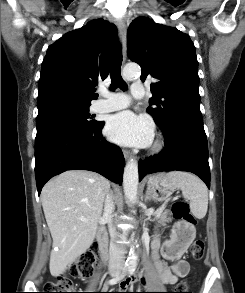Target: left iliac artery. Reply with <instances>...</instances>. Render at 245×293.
Returning <instances> with one entry per match:
<instances>
[{
	"mask_svg": "<svg viewBox=\"0 0 245 293\" xmlns=\"http://www.w3.org/2000/svg\"><path fill=\"white\" fill-rule=\"evenodd\" d=\"M134 272H135V267L133 266L129 269V274L132 275Z\"/></svg>",
	"mask_w": 245,
	"mask_h": 293,
	"instance_id": "left-iliac-artery-1",
	"label": "left iliac artery"
}]
</instances>
